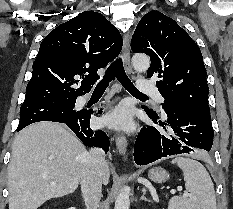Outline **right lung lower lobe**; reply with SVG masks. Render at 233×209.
<instances>
[{"label":"right lung lower lobe","instance_id":"right-lung-lower-lobe-1","mask_svg":"<svg viewBox=\"0 0 233 209\" xmlns=\"http://www.w3.org/2000/svg\"><path fill=\"white\" fill-rule=\"evenodd\" d=\"M99 113H102V111L99 110ZM92 114V110L80 111L75 117L60 123L66 124L86 146L102 147L107 152L110 142L106 133L103 131H93L89 126ZM24 127L26 126H18L17 131H20Z\"/></svg>","mask_w":233,"mask_h":209}]
</instances>
